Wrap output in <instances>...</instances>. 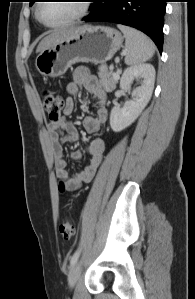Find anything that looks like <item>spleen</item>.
Here are the masks:
<instances>
[{
  "label": "spleen",
  "instance_id": "obj_1",
  "mask_svg": "<svg viewBox=\"0 0 195 299\" xmlns=\"http://www.w3.org/2000/svg\"><path fill=\"white\" fill-rule=\"evenodd\" d=\"M125 36V63L138 65L148 61L155 52L154 43L142 32L124 25H117Z\"/></svg>",
  "mask_w": 195,
  "mask_h": 299
}]
</instances>
